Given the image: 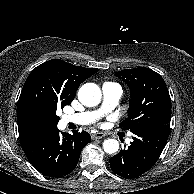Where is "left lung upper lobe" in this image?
<instances>
[{
  "mask_svg": "<svg viewBox=\"0 0 194 194\" xmlns=\"http://www.w3.org/2000/svg\"><path fill=\"white\" fill-rule=\"evenodd\" d=\"M115 75L130 88L128 117L119 127L132 130L139 126L170 127L171 99L162 76L139 67L121 70Z\"/></svg>",
  "mask_w": 194,
  "mask_h": 194,
  "instance_id": "1",
  "label": "left lung upper lobe"
}]
</instances>
